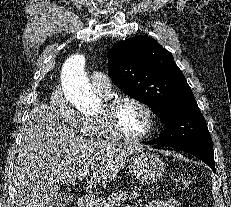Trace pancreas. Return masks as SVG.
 I'll return each mask as SVG.
<instances>
[{"label": "pancreas", "mask_w": 231, "mask_h": 207, "mask_svg": "<svg viewBox=\"0 0 231 207\" xmlns=\"http://www.w3.org/2000/svg\"><path fill=\"white\" fill-rule=\"evenodd\" d=\"M139 196L140 194L138 192H131L128 194L126 191L118 190L117 192L112 193L109 197L96 200L92 204V207H117L124 204L128 198L132 200L137 199Z\"/></svg>", "instance_id": "1"}]
</instances>
